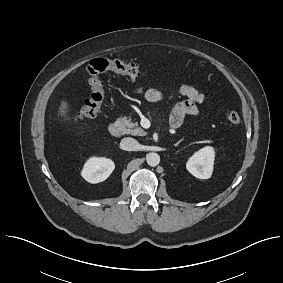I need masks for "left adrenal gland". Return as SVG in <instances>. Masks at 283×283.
<instances>
[{"instance_id": "1", "label": "left adrenal gland", "mask_w": 283, "mask_h": 283, "mask_svg": "<svg viewBox=\"0 0 283 283\" xmlns=\"http://www.w3.org/2000/svg\"><path fill=\"white\" fill-rule=\"evenodd\" d=\"M180 142H181V141H179L178 143H176L175 146H178Z\"/></svg>"}]
</instances>
